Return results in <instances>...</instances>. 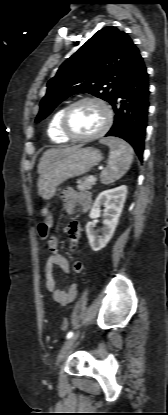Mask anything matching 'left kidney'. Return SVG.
Masks as SVG:
<instances>
[{
  "label": "left kidney",
  "mask_w": 168,
  "mask_h": 415,
  "mask_svg": "<svg viewBox=\"0 0 168 415\" xmlns=\"http://www.w3.org/2000/svg\"><path fill=\"white\" fill-rule=\"evenodd\" d=\"M126 195L127 186L122 185L114 189L105 190L97 196L89 214L92 221L86 224V234L93 251H99L104 248L112 238L124 207ZM101 206L105 207V218L103 220L102 235L98 236L94 228L96 219L100 216Z\"/></svg>",
  "instance_id": "left-kidney-1"
}]
</instances>
